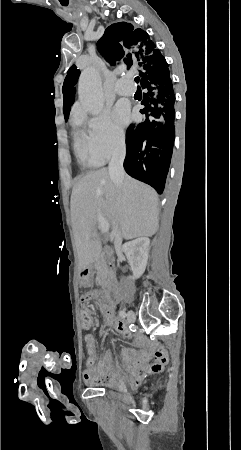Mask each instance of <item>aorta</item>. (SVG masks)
I'll use <instances>...</instances> for the list:
<instances>
[{"instance_id":"1","label":"aorta","mask_w":241,"mask_h":450,"mask_svg":"<svg viewBox=\"0 0 241 450\" xmlns=\"http://www.w3.org/2000/svg\"><path fill=\"white\" fill-rule=\"evenodd\" d=\"M79 100L83 108L90 114H99L104 106L102 82L99 72L92 66L85 68L78 84Z\"/></svg>"}]
</instances>
